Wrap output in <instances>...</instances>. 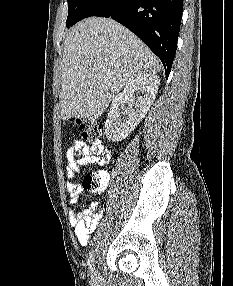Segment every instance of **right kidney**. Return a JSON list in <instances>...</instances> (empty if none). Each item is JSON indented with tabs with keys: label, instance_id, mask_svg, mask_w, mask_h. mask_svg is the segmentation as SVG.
<instances>
[{
	"label": "right kidney",
	"instance_id": "right-kidney-1",
	"mask_svg": "<svg viewBox=\"0 0 233 286\" xmlns=\"http://www.w3.org/2000/svg\"><path fill=\"white\" fill-rule=\"evenodd\" d=\"M159 84L157 75L147 73L136 77L113 98L105 122V134L110 141L118 142L130 135L154 102ZM125 103L128 104L127 117L121 118L120 110Z\"/></svg>",
	"mask_w": 233,
	"mask_h": 286
}]
</instances>
